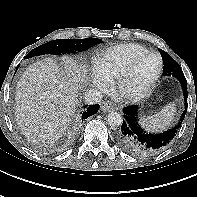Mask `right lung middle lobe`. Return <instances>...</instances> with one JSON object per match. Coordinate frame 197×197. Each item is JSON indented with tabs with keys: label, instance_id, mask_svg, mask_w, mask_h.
Wrapping results in <instances>:
<instances>
[{
	"label": "right lung middle lobe",
	"instance_id": "dd1d6c3e",
	"mask_svg": "<svg viewBox=\"0 0 197 197\" xmlns=\"http://www.w3.org/2000/svg\"><path fill=\"white\" fill-rule=\"evenodd\" d=\"M101 42V39L98 38L57 39L34 48L26 55V58L44 54L75 53L85 51Z\"/></svg>",
	"mask_w": 197,
	"mask_h": 197
}]
</instances>
